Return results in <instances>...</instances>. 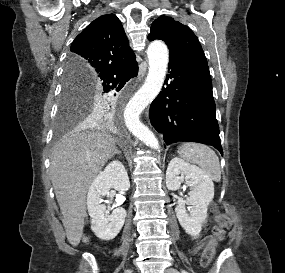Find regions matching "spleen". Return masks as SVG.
Masks as SVG:
<instances>
[{
	"instance_id": "spleen-1",
	"label": "spleen",
	"mask_w": 285,
	"mask_h": 273,
	"mask_svg": "<svg viewBox=\"0 0 285 273\" xmlns=\"http://www.w3.org/2000/svg\"><path fill=\"white\" fill-rule=\"evenodd\" d=\"M178 154L183 160L198 164L210 180L216 182L221 180L219 158L208 146L197 143H184L178 148Z\"/></svg>"
}]
</instances>
